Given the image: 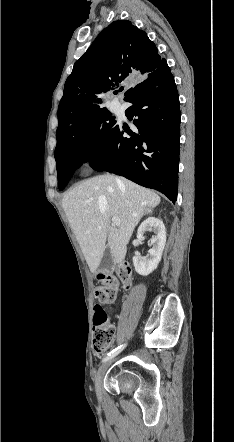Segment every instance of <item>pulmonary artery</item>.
<instances>
[{
    "label": "pulmonary artery",
    "instance_id": "obj_1",
    "mask_svg": "<svg viewBox=\"0 0 234 442\" xmlns=\"http://www.w3.org/2000/svg\"><path fill=\"white\" fill-rule=\"evenodd\" d=\"M111 109L113 110V111H115V112H117V111H119L120 110V105L117 103V102H112L111 103Z\"/></svg>",
    "mask_w": 234,
    "mask_h": 442
}]
</instances>
